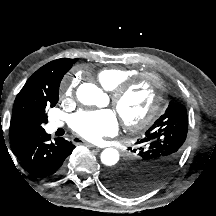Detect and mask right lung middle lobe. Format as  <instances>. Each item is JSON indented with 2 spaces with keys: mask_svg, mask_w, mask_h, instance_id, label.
Returning <instances> with one entry per match:
<instances>
[{
  "mask_svg": "<svg viewBox=\"0 0 216 216\" xmlns=\"http://www.w3.org/2000/svg\"><path fill=\"white\" fill-rule=\"evenodd\" d=\"M47 123V115H44L43 120L40 122V124L37 126L36 131L40 132L43 131L44 129L42 128V124Z\"/></svg>",
  "mask_w": 216,
  "mask_h": 216,
  "instance_id": "dd1d6c3e",
  "label": "right lung middle lobe"
}]
</instances>
